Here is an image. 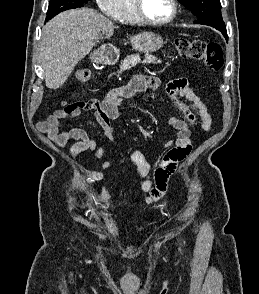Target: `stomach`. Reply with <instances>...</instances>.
Masks as SVG:
<instances>
[{
    "mask_svg": "<svg viewBox=\"0 0 259 294\" xmlns=\"http://www.w3.org/2000/svg\"><path fill=\"white\" fill-rule=\"evenodd\" d=\"M130 43L135 51L143 53L155 52L164 45L162 37L153 32L139 33L131 37Z\"/></svg>",
    "mask_w": 259,
    "mask_h": 294,
    "instance_id": "1",
    "label": "stomach"
}]
</instances>
